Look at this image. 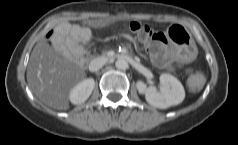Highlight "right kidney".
<instances>
[{
    "mask_svg": "<svg viewBox=\"0 0 238 145\" xmlns=\"http://www.w3.org/2000/svg\"><path fill=\"white\" fill-rule=\"evenodd\" d=\"M94 87L95 81L93 78H87L79 82L69 93L70 101L76 105L84 103L92 94Z\"/></svg>",
    "mask_w": 238,
    "mask_h": 145,
    "instance_id": "obj_1",
    "label": "right kidney"
}]
</instances>
